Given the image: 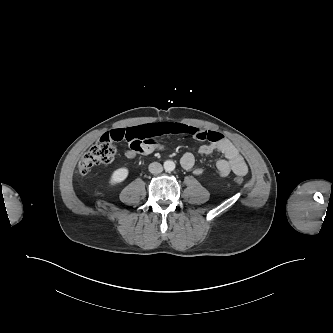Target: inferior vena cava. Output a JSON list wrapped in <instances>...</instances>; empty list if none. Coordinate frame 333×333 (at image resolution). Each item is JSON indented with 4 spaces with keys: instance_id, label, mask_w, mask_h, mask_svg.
Segmentation results:
<instances>
[{
    "instance_id": "1",
    "label": "inferior vena cava",
    "mask_w": 333,
    "mask_h": 333,
    "mask_svg": "<svg viewBox=\"0 0 333 333\" xmlns=\"http://www.w3.org/2000/svg\"><path fill=\"white\" fill-rule=\"evenodd\" d=\"M148 169L153 174H159L163 171L162 165L158 162L151 163Z\"/></svg>"
}]
</instances>
